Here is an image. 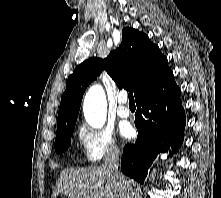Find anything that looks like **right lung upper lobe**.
I'll return each mask as SVG.
<instances>
[{"label":"right lung upper lobe","mask_w":221,"mask_h":198,"mask_svg":"<svg viewBox=\"0 0 221 198\" xmlns=\"http://www.w3.org/2000/svg\"><path fill=\"white\" fill-rule=\"evenodd\" d=\"M103 69L119 88L133 90L136 99L170 70L167 58L147 35L124 28L121 45L106 59L89 58L68 77L61 98L57 132L75 126L85 89Z\"/></svg>","instance_id":"obj_1"}]
</instances>
